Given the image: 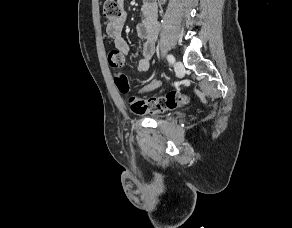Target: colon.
Returning a JSON list of instances; mask_svg holds the SVG:
<instances>
[{"instance_id":"1","label":"colon","mask_w":292,"mask_h":228,"mask_svg":"<svg viewBox=\"0 0 292 228\" xmlns=\"http://www.w3.org/2000/svg\"><path fill=\"white\" fill-rule=\"evenodd\" d=\"M121 16V8L117 0H105L103 5V18L107 24L115 23ZM109 65L113 69H119L123 64V58L116 51H111L108 55ZM115 83L122 93L129 90L127 78L124 74L118 73ZM188 101V97L179 91H170L164 96L141 99L136 96L129 98V106L132 112L138 115L153 112H164L173 110Z\"/></svg>"}]
</instances>
